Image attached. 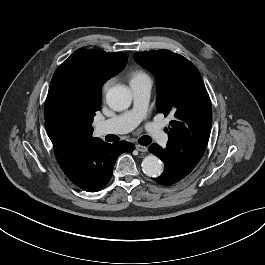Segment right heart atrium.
Here are the masks:
<instances>
[{
  "instance_id": "right-heart-atrium-1",
  "label": "right heart atrium",
  "mask_w": 265,
  "mask_h": 265,
  "mask_svg": "<svg viewBox=\"0 0 265 265\" xmlns=\"http://www.w3.org/2000/svg\"><path fill=\"white\" fill-rule=\"evenodd\" d=\"M108 85H109V83H106V84L104 85V87H103V92H106V90H107V88H108Z\"/></svg>"
}]
</instances>
